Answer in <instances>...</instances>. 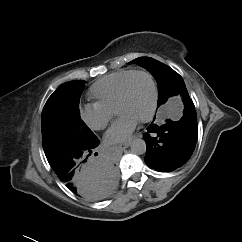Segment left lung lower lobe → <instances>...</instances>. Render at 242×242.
<instances>
[{
  "label": "left lung lower lobe",
  "instance_id": "left-lung-lower-lobe-1",
  "mask_svg": "<svg viewBox=\"0 0 242 242\" xmlns=\"http://www.w3.org/2000/svg\"><path fill=\"white\" fill-rule=\"evenodd\" d=\"M183 116L178 121L152 123L144 134L147 146L144 161L159 172H172L191 157L198 138L197 115L189 95H183Z\"/></svg>",
  "mask_w": 242,
  "mask_h": 242
}]
</instances>
